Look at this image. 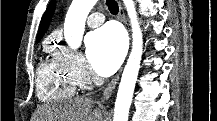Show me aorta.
<instances>
[{"mask_svg":"<svg viewBox=\"0 0 217 121\" xmlns=\"http://www.w3.org/2000/svg\"><path fill=\"white\" fill-rule=\"evenodd\" d=\"M96 2L97 0L72 1L64 23L65 41L71 48L75 49L81 45L86 18ZM124 4L131 22L133 43L116 97L114 121H128L129 109L143 53L142 32L137 19L134 1L124 0Z\"/></svg>","mask_w":217,"mask_h":121,"instance_id":"aorta-1","label":"aorta"}]
</instances>
